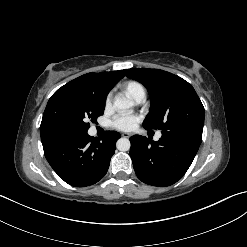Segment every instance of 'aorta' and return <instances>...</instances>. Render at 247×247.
<instances>
[{
	"label": "aorta",
	"mask_w": 247,
	"mask_h": 247,
	"mask_svg": "<svg viewBox=\"0 0 247 247\" xmlns=\"http://www.w3.org/2000/svg\"><path fill=\"white\" fill-rule=\"evenodd\" d=\"M133 106V102L125 97H116L114 100V107L118 110H127ZM117 149L119 151H128L130 149L131 143L129 139L122 137L117 140Z\"/></svg>",
	"instance_id": "obj_1"
}]
</instances>
